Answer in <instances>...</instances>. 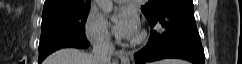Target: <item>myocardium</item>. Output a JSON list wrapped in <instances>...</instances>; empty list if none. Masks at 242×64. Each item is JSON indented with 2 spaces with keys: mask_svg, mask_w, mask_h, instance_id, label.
Here are the masks:
<instances>
[{
  "mask_svg": "<svg viewBox=\"0 0 242 64\" xmlns=\"http://www.w3.org/2000/svg\"><path fill=\"white\" fill-rule=\"evenodd\" d=\"M145 37H146L145 32H140L132 39L131 43L133 45H138L144 41Z\"/></svg>",
  "mask_w": 242,
  "mask_h": 64,
  "instance_id": "obj_1",
  "label": "myocardium"
}]
</instances>
